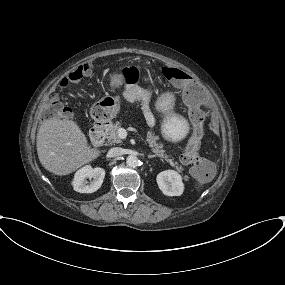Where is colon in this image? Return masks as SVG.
Segmentation results:
<instances>
[{
	"mask_svg": "<svg viewBox=\"0 0 285 285\" xmlns=\"http://www.w3.org/2000/svg\"><path fill=\"white\" fill-rule=\"evenodd\" d=\"M92 74L93 69L89 64L80 65L62 78L59 87L61 90H65L69 85L78 83L82 79L90 77ZM135 74V68L125 69V75L127 77H132ZM162 74L167 80L180 83L183 86V91L188 100L198 102L196 86L190 81L186 74L172 67H163ZM99 107L100 104L94 108V115H96V111ZM65 113L66 109L61 96L59 94L51 95L43 107L44 117H57ZM188 116L193 128V134L180 159L184 164L193 165L191 172L195 177L201 180H207L209 174L213 172V165L199 154L205 122L204 112L200 107L194 106L189 109Z\"/></svg>",
	"mask_w": 285,
	"mask_h": 285,
	"instance_id": "1",
	"label": "colon"
}]
</instances>
